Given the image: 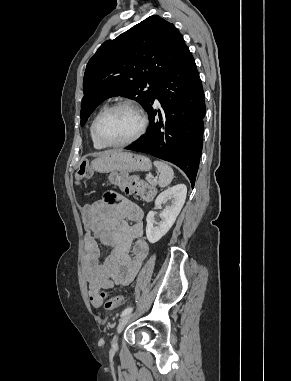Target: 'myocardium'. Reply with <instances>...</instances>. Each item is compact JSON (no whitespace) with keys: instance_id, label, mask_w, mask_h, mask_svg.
Here are the masks:
<instances>
[{"instance_id":"1","label":"myocardium","mask_w":291,"mask_h":381,"mask_svg":"<svg viewBox=\"0 0 291 381\" xmlns=\"http://www.w3.org/2000/svg\"><path fill=\"white\" fill-rule=\"evenodd\" d=\"M120 108L133 109L140 117V127H139L138 131L131 138H129L125 141H122V142H110L102 135L100 126H101V123L105 117H107L109 114H111L112 112H114L115 110L120 109ZM147 125H148L147 115H146L145 111L138 104H136L132 101H121V102H118V103L106 108L97 117V119L94 123V132H95L96 138L106 147H124V146L130 145V144L136 142L138 139H140L143 136V134L145 133Z\"/></svg>"}]
</instances>
